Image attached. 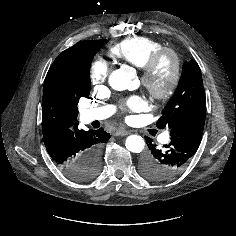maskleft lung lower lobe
Returning a JSON list of instances; mask_svg holds the SVG:
<instances>
[{
    "instance_id": "0a47b994",
    "label": "left lung lower lobe",
    "mask_w": 236,
    "mask_h": 236,
    "mask_svg": "<svg viewBox=\"0 0 236 236\" xmlns=\"http://www.w3.org/2000/svg\"><path fill=\"white\" fill-rule=\"evenodd\" d=\"M205 116L186 119L170 130L171 142L158 149L145 137L149 151L142 158L140 170L153 181H166L177 176L197 151L204 129Z\"/></svg>"
}]
</instances>
